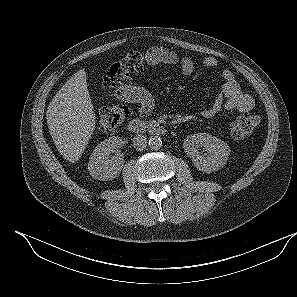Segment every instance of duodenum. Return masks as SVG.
Masks as SVG:
<instances>
[{
	"label": "duodenum",
	"mask_w": 297,
	"mask_h": 297,
	"mask_svg": "<svg viewBox=\"0 0 297 297\" xmlns=\"http://www.w3.org/2000/svg\"><path fill=\"white\" fill-rule=\"evenodd\" d=\"M126 129L136 134L148 132L155 135H164L166 133V128L137 118L130 120L126 125Z\"/></svg>",
	"instance_id": "410a0bca"
}]
</instances>
